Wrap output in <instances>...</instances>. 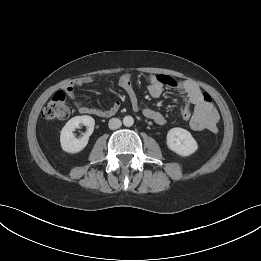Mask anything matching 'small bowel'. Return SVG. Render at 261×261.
<instances>
[{
  "label": "small bowel",
  "mask_w": 261,
  "mask_h": 261,
  "mask_svg": "<svg viewBox=\"0 0 261 261\" xmlns=\"http://www.w3.org/2000/svg\"><path fill=\"white\" fill-rule=\"evenodd\" d=\"M93 81L92 77H83L78 79L75 83L69 84L65 88V92L72 100L75 99L74 87L83 86ZM119 86L128 94L133 110L139 109L137 97L132 87L131 77L129 74H123L119 78ZM165 88H171L178 91L185 100V105L182 109V117L184 120H189L190 127L194 131L209 130L211 132L217 131V123L219 114L215 109L211 98L208 94L203 93L200 88L190 81H179L176 78L165 75H151L149 78L148 92L154 97L158 98ZM77 110L82 114H93L97 116H110L119 109V102H115L109 109L102 110L92 108L84 105L81 101L74 102ZM193 106V113H191L190 106ZM143 115L154 121L157 124H164V116L151 108H145L142 111ZM188 118L185 119L184 115Z\"/></svg>",
  "instance_id": "obj_1"
}]
</instances>
